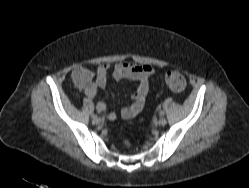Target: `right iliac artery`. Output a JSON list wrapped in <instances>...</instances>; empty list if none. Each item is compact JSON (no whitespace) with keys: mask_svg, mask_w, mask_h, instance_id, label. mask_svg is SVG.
Wrapping results in <instances>:
<instances>
[{"mask_svg":"<svg viewBox=\"0 0 249 188\" xmlns=\"http://www.w3.org/2000/svg\"><path fill=\"white\" fill-rule=\"evenodd\" d=\"M95 117H97V116H96L95 114H93V115H92V118H95Z\"/></svg>","mask_w":249,"mask_h":188,"instance_id":"82829eb1","label":"right iliac artery"}]
</instances>
